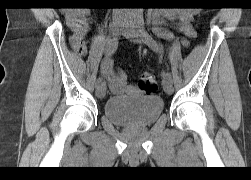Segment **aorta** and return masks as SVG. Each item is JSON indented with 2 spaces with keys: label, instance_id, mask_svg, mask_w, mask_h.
<instances>
[{
  "label": "aorta",
  "instance_id": "1",
  "mask_svg": "<svg viewBox=\"0 0 251 180\" xmlns=\"http://www.w3.org/2000/svg\"><path fill=\"white\" fill-rule=\"evenodd\" d=\"M133 11L137 14V15H142V9L141 8H135L133 9Z\"/></svg>",
  "mask_w": 251,
  "mask_h": 180
}]
</instances>
